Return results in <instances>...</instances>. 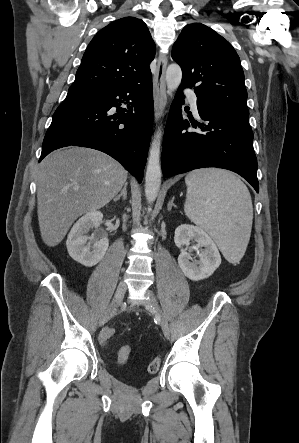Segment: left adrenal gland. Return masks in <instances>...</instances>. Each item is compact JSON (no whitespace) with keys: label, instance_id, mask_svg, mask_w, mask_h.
<instances>
[{"label":"left adrenal gland","instance_id":"left-adrenal-gland-1","mask_svg":"<svg viewBox=\"0 0 299 443\" xmlns=\"http://www.w3.org/2000/svg\"><path fill=\"white\" fill-rule=\"evenodd\" d=\"M172 207L176 208V205L174 204V197H172V199L169 201L168 206H167V210L171 211Z\"/></svg>","mask_w":299,"mask_h":443}]
</instances>
